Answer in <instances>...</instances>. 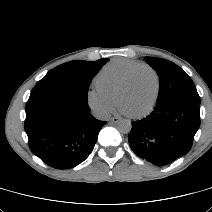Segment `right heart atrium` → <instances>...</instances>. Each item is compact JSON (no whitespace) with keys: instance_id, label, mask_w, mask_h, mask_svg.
I'll use <instances>...</instances> for the list:
<instances>
[{"instance_id":"1","label":"right heart atrium","mask_w":212,"mask_h":212,"mask_svg":"<svg viewBox=\"0 0 212 212\" xmlns=\"http://www.w3.org/2000/svg\"><path fill=\"white\" fill-rule=\"evenodd\" d=\"M86 101L89 108L99 116L108 115L115 103L114 96L99 87L87 92Z\"/></svg>"}]
</instances>
